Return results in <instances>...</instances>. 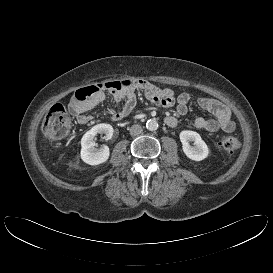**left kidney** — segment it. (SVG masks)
Wrapping results in <instances>:
<instances>
[{"instance_id":"obj_1","label":"left kidney","mask_w":273,"mask_h":273,"mask_svg":"<svg viewBox=\"0 0 273 273\" xmlns=\"http://www.w3.org/2000/svg\"><path fill=\"white\" fill-rule=\"evenodd\" d=\"M179 137L183 152L189 159L201 161L208 156V146L197 132L184 130L180 132ZM190 141L194 142V146L189 144Z\"/></svg>"}]
</instances>
